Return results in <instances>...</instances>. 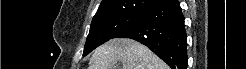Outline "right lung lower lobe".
Returning <instances> with one entry per match:
<instances>
[{
    "label": "right lung lower lobe",
    "mask_w": 246,
    "mask_h": 69,
    "mask_svg": "<svg viewBox=\"0 0 246 69\" xmlns=\"http://www.w3.org/2000/svg\"><path fill=\"white\" fill-rule=\"evenodd\" d=\"M118 37L146 45L172 69H187L184 16L178 0H169L145 11L139 24Z\"/></svg>",
    "instance_id": "98d812e1"
}]
</instances>
